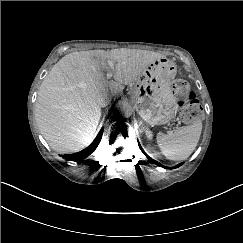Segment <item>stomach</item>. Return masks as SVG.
I'll return each instance as SVG.
<instances>
[{"mask_svg":"<svg viewBox=\"0 0 243 243\" xmlns=\"http://www.w3.org/2000/svg\"><path fill=\"white\" fill-rule=\"evenodd\" d=\"M175 74V65L161 57L134 78L133 103L151 126L167 124L175 116L177 99L170 87Z\"/></svg>","mask_w":243,"mask_h":243,"instance_id":"0dacf381","label":"stomach"}]
</instances>
